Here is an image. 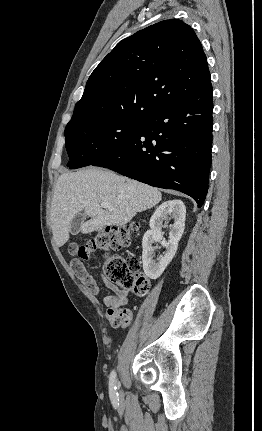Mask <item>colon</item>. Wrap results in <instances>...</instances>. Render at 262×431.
I'll use <instances>...</instances> for the list:
<instances>
[{"mask_svg": "<svg viewBox=\"0 0 262 431\" xmlns=\"http://www.w3.org/2000/svg\"><path fill=\"white\" fill-rule=\"evenodd\" d=\"M134 227H107L99 230L85 243H72L69 253L78 256L73 264L76 273L83 270L80 260H88L97 251L116 250L128 246L134 237ZM140 260L136 257L110 256L102 265V274L111 284L123 289H129L136 296H143L149 289L147 277L139 271ZM112 327H126L130 324L131 314L120 310L109 317Z\"/></svg>", "mask_w": 262, "mask_h": 431, "instance_id": "colon-1", "label": "colon"}]
</instances>
